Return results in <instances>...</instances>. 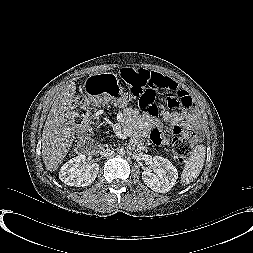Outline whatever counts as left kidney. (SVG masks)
<instances>
[{"mask_svg": "<svg viewBox=\"0 0 253 253\" xmlns=\"http://www.w3.org/2000/svg\"><path fill=\"white\" fill-rule=\"evenodd\" d=\"M150 168L142 172L144 183L153 191L166 193L171 190L178 178L175 166L166 158L154 156L150 163Z\"/></svg>", "mask_w": 253, "mask_h": 253, "instance_id": "5707ae66", "label": "left kidney"}]
</instances>
